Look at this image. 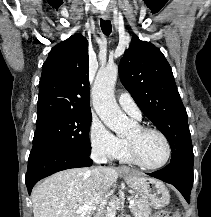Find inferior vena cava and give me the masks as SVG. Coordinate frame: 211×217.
<instances>
[{"label": "inferior vena cava", "instance_id": "inferior-vena-cava-1", "mask_svg": "<svg viewBox=\"0 0 211 217\" xmlns=\"http://www.w3.org/2000/svg\"><path fill=\"white\" fill-rule=\"evenodd\" d=\"M91 159L96 164H105L107 163V158L105 152L102 149L94 148L91 153ZM103 168L96 167L94 168L93 175L95 181V188L97 190L98 195L103 193ZM94 217H103L102 210H98Z\"/></svg>", "mask_w": 211, "mask_h": 217}]
</instances>
